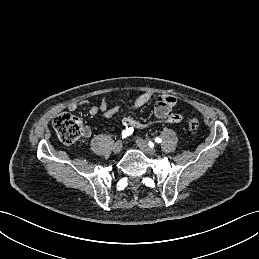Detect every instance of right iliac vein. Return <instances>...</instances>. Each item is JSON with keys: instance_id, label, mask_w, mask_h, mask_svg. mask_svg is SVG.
Masks as SVG:
<instances>
[{"instance_id": "63e3f726", "label": "right iliac vein", "mask_w": 259, "mask_h": 259, "mask_svg": "<svg viewBox=\"0 0 259 259\" xmlns=\"http://www.w3.org/2000/svg\"><path fill=\"white\" fill-rule=\"evenodd\" d=\"M122 149V141L121 140H118L114 145H113V152L115 154H118L120 153Z\"/></svg>"}]
</instances>
